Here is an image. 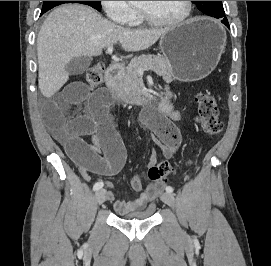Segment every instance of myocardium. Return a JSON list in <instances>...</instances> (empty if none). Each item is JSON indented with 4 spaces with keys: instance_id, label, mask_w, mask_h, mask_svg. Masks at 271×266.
I'll list each match as a JSON object with an SVG mask.
<instances>
[{
    "instance_id": "obj_1",
    "label": "myocardium",
    "mask_w": 271,
    "mask_h": 266,
    "mask_svg": "<svg viewBox=\"0 0 271 266\" xmlns=\"http://www.w3.org/2000/svg\"><path fill=\"white\" fill-rule=\"evenodd\" d=\"M186 9L184 14L173 20H161L156 17H154L150 12H148L146 9L139 7V13L143 20L146 22L157 25V26H178L183 23H185L192 15L193 10V4L192 1H185Z\"/></svg>"
}]
</instances>
